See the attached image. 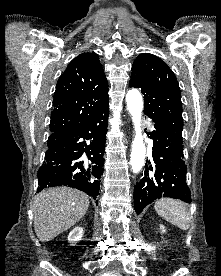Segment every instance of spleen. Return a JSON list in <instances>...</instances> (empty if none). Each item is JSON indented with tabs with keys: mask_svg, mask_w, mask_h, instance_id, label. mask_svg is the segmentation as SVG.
I'll return each instance as SVG.
<instances>
[{
	"mask_svg": "<svg viewBox=\"0 0 221 276\" xmlns=\"http://www.w3.org/2000/svg\"><path fill=\"white\" fill-rule=\"evenodd\" d=\"M154 208L159 216L182 230L190 227V217L186 205L179 200L162 198L158 200Z\"/></svg>",
	"mask_w": 221,
	"mask_h": 276,
	"instance_id": "spleen-1",
	"label": "spleen"
}]
</instances>
